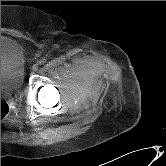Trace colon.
<instances>
[{"mask_svg": "<svg viewBox=\"0 0 166 166\" xmlns=\"http://www.w3.org/2000/svg\"><path fill=\"white\" fill-rule=\"evenodd\" d=\"M9 113V106L7 102L1 99V120H3Z\"/></svg>", "mask_w": 166, "mask_h": 166, "instance_id": "colon-1", "label": "colon"}]
</instances>
